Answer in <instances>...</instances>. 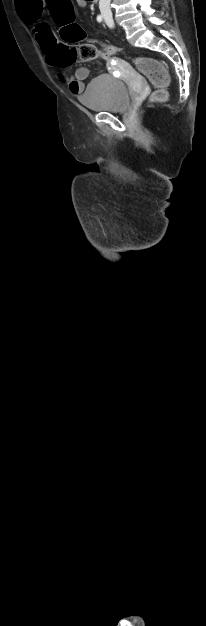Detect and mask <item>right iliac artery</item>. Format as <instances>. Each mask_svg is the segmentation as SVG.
Instances as JSON below:
<instances>
[{
  "label": "right iliac artery",
  "instance_id": "obj_1",
  "mask_svg": "<svg viewBox=\"0 0 206 626\" xmlns=\"http://www.w3.org/2000/svg\"><path fill=\"white\" fill-rule=\"evenodd\" d=\"M97 21H98V22H101V21H102V16H101V15H98V16H97Z\"/></svg>",
  "mask_w": 206,
  "mask_h": 626
}]
</instances>
